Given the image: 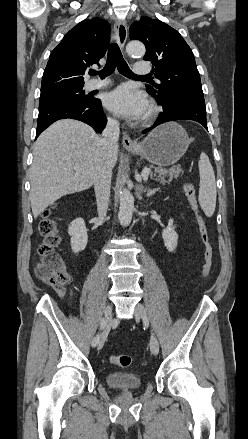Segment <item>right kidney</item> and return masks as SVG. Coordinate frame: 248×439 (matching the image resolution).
<instances>
[{
  "mask_svg": "<svg viewBox=\"0 0 248 439\" xmlns=\"http://www.w3.org/2000/svg\"><path fill=\"white\" fill-rule=\"evenodd\" d=\"M71 236V249L75 254L83 251L88 242L87 229L83 218H76L68 228Z\"/></svg>",
  "mask_w": 248,
  "mask_h": 439,
  "instance_id": "1",
  "label": "right kidney"
}]
</instances>
